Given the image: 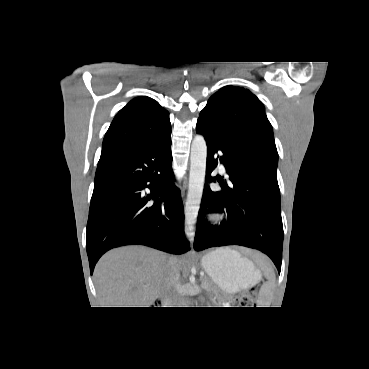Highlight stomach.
I'll return each mask as SVG.
<instances>
[{
	"instance_id": "0dacf381",
	"label": "stomach",
	"mask_w": 369,
	"mask_h": 369,
	"mask_svg": "<svg viewBox=\"0 0 369 369\" xmlns=\"http://www.w3.org/2000/svg\"><path fill=\"white\" fill-rule=\"evenodd\" d=\"M202 267L213 282L226 293H237L255 285L260 271L247 258L229 248H220L202 257Z\"/></svg>"
}]
</instances>
